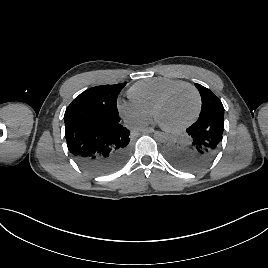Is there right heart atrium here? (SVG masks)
Here are the masks:
<instances>
[{"instance_id":"obj_1","label":"right heart atrium","mask_w":268,"mask_h":268,"mask_svg":"<svg viewBox=\"0 0 268 268\" xmlns=\"http://www.w3.org/2000/svg\"><path fill=\"white\" fill-rule=\"evenodd\" d=\"M118 109L125 119L135 125H144L152 117L150 111L132 101L120 100Z\"/></svg>"}]
</instances>
